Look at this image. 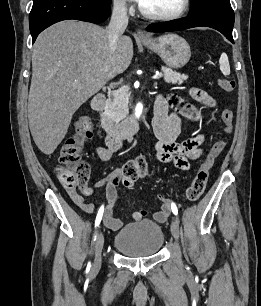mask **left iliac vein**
Wrapping results in <instances>:
<instances>
[{
	"label": "left iliac vein",
	"mask_w": 261,
	"mask_h": 306,
	"mask_svg": "<svg viewBox=\"0 0 261 306\" xmlns=\"http://www.w3.org/2000/svg\"><path fill=\"white\" fill-rule=\"evenodd\" d=\"M171 233L173 237L178 240L180 236V225L178 218H174L171 223Z\"/></svg>",
	"instance_id": "left-iliac-vein-1"
}]
</instances>
